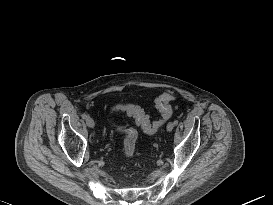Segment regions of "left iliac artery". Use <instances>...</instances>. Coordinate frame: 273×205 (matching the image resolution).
<instances>
[{"label": "left iliac artery", "instance_id": "1", "mask_svg": "<svg viewBox=\"0 0 273 205\" xmlns=\"http://www.w3.org/2000/svg\"><path fill=\"white\" fill-rule=\"evenodd\" d=\"M177 124H178V121H177V120H175V121H174V125H177Z\"/></svg>", "mask_w": 273, "mask_h": 205}]
</instances>
